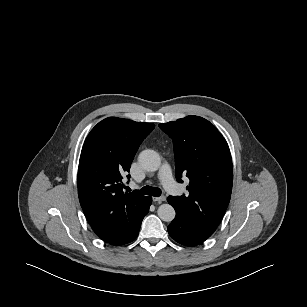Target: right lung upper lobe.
Instances as JSON below:
<instances>
[{
  "label": "right lung upper lobe",
  "mask_w": 307,
  "mask_h": 307,
  "mask_svg": "<svg viewBox=\"0 0 307 307\" xmlns=\"http://www.w3.org/2000/svg\"><path fill=\"white\" fill-rule=\"evenodd\" d=\"M154 128L152 123L109 117L84 142L78 168L79 201L94 232L113 245L133 241L148 213L149 197L124 193L122 178Z\"/></svg>",
  "instance_id": "right-lung-upper-lobe-1"
}]
</instances>
